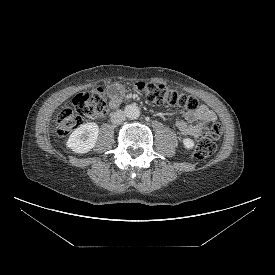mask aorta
<instances>
[{
	"instance_id": "1",
	"label": "aorta",
	"mask_w": 275,
	"mask_h": 275,
	"mask_svg": "<svg viewBox=\"0 0 275 275\" xmlns=\"http://www.w3.org/2000/svg\"><path fill=\"white\" fill-rule=\"evenodd\" d=\"M125 116L129 119H137L140 116V108L136 104H129L124 109Z\"/></svg>"
}]
</instances>
